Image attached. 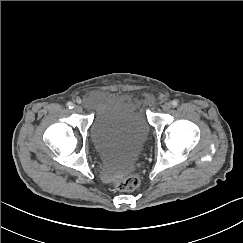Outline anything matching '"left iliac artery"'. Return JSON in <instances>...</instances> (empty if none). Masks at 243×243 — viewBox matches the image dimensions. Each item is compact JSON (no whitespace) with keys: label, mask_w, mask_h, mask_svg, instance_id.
<instances>
[{"label":"left iliac artery","mask_w":243,"mask_h":243,"mask_svg":"<svg viewBox=\"0 0 243 243\" xmlns=\"http://www.w3.org/2000/svg\"><path fill=\"white\" fill-rule=\"evenodd\" d=\"M171 105H172V107H177V105H178V101H177V100H173V101L171 102Z\"/></svg>","instance_id":"left-iliac-artery-1"}]
</instances>
